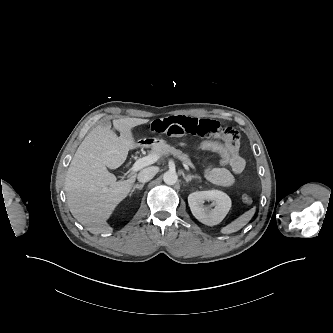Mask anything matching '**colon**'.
I'll return each mask as SVG.
<instances>
[{
	"label": "colon",
	"instance_id": "colon-1",
	"mask_svg": "<svg viewBox=\"0 0 333 333\" xmlns=\"http://www.w3.org/2000/svg\"><path fill=\"white\" fill-rule=\"evenodd\" d=\"M196 149L205 152H211L219 156L220 163L222 166H229L231 162V157L229 151L226 147H224L221 143L213 141V140H202L195 144ZM242 201L245 204L252 203V197L248 194H244L242 196Z\"/></svg>",
	"mask_w": 333,
	"mask_h": 333
}]
</instances>
